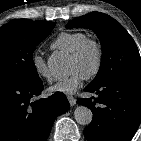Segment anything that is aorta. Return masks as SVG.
Here are the masks:
<instances>
[{
	"mask_svg": "<svg viewBox=\"0 0 141 141\" xmlns=\"http://www.w3.org/2000/svg\"><path fill=\"white\" fill-rule=\"evenodd\" d=\"M48 68L53 76L63 77L67 74V60L61 56H52L48 61ZM93 113L85 106H78L74 110V119L80 125H89L92 121Z\"/></svg>",
	"mask_w": 141,
	"mask_h": 141,
	"instance_id": "aorta-1",
	"label": "aorta"
}]
</instances>
